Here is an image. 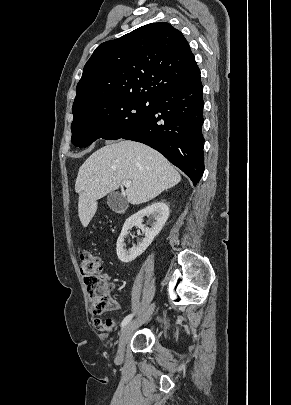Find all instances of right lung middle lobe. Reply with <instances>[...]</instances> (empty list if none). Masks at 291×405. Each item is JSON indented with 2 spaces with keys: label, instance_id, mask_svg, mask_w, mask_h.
Instances as JSON below:
<instances>
[{
  "label": "right lung middle lobe",
  "instance_id": "obj_1",
  "mask_svg": "<svg viewBox=\"0 0 291 405\" xmlns=\"http://www.w3.org/2000/svg\"><path fill=\"white\" fill-rule=\"evenodd\" d=\"M152 106V99L141 96H127L85 106L73 113L72 143L81 148L100 138L120 139L145 121Z\"/></svg>",
  "mask_w": 291,
  "mask_h": 405
}]
</instances>
